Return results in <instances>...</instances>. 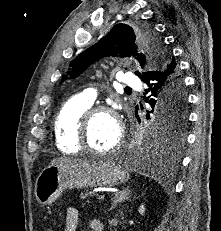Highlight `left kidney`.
<instances>
[{
  "mask_svg": "<svg viewBox=\"0 0 221 231\" xmlns=\"http://www.w3.org/2000/svg\"><path fill=\"white\" fill-rule=\"evenodd\" d=\"M138 212L143 216L145 214V206L142 204L139 208H138Z\"/></svg>",
  "mask_w": 221,
  "mask_h": 231,
  "instance_id": "left-kidney-1",
  "label": "left kidney"
}]
</instances>
